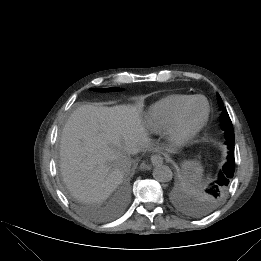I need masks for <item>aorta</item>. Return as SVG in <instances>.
<instances>
[{"label":"aorta","mask_w":261,"mask_h":261,"mask_svg":"<svg viewBox=\"0 0 261 261\" xmlns=\"http://www.w3.org/2000/svg\"><path fill=\"white\" fill-rule=\"evenodd\" d=\"M152 175L155 180L162 183L171 181L173 177L172 170L167 165L163 164L157 165L153 169Z\"/></svg>","instance_id":"762f6f07"}]
</instances>
